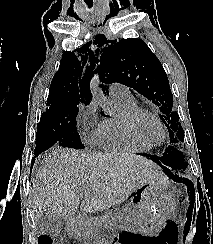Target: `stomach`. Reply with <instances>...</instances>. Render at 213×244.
<instances>
[{"instance_id":"1","label":"stomach","mask_w":213,"mask_h":244,"mask_svg":"<svg viewBox=\"0 0 213 244\" xmlns=\"http://www.w3.org/2000/svg\"><path fill=\"white\" fill-rule=\"evenodd\" d=\"M133 196L138 202L134 213L137 230L149 229L166 221L175 210V196L171 189L162 181L149 182L133 191ZM75 225L74 221L70 222ZM84 227L76 225L74 236L83 238Z\"/></svg>"}]
</instances>
